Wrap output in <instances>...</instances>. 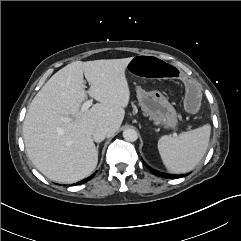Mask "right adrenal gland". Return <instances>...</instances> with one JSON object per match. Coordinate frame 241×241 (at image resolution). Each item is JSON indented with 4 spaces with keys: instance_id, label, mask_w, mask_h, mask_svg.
Masks as SVG:
<instances>
[{
    "instance_id": "obj_1",
    "label": "right adrenal gland",
    "mask_w": 241,
    "mask_h": 241,
    "mask_svg": "<svg viewBox=\"0 0 241 241\" xmlns=\"http://www.w3.org/2000/svg\"><path fill=\"white\" fill-rule=\"evenodd\" d=\"M98 148H99V145H97V147H96L97 152H98Z\"/></svg>"
}]
</instances>
